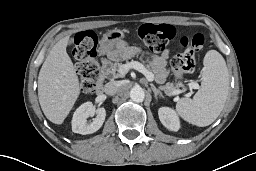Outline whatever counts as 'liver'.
<instances>
[{"label":"liver","instance_id":"1","mask_svg":"<svg viewBox=\"0 0 256 171\" xmlns=\"http://www.w3.org/2000/svg\"><path fill=\"white\" fill-rule=\"evenodd\" d=\"M68 37L59 40L38 76V98L46 118L62 124L80 95L79 79L66 52Z\"/></svg>","mask_w":256,"mask_h":171}]
</instances>
